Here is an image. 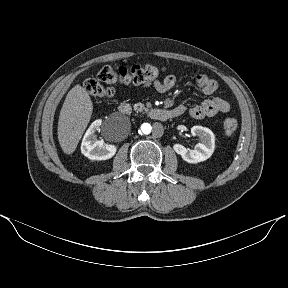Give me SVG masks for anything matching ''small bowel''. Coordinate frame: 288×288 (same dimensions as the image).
I'll use <instances>...</instances> for the list:
<instances>
[{
    "instance_id": "c3829d8e",
    "label": "small bowel",
    "mask_w": 288,
    "mask_h": 288,
    "mask_svg": "<svg viewBox=\"0 0 288 288\" xmlns=\"http://www.w3.org/2000/svg\"><path fill=\"white\" fill-rule=\"evenodd\" d=\"M179 77L174 74L167 75L163 80H154L142 84L143 88L154 87L157 91L165 93L174 88ZM195 81L200 87L202 93L210 98L204 100L201 104L194 105L189 109V114L195 119L213 117L219 113H226L230 110V104L219 97L213 96L217 90V83L214 79L204 74H197ZM175 109L181 110L182 114L187 108L184 105H178Z\"/></svg>"
}]
</instances>
